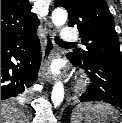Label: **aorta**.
<instances>
[{
    "label": "aorta",
    "instance_id": "1",
    "mask_svg": "<svg viewBox=\"0 0 122 123\" xmlns=\"http://www.w3.org/2000/svg\"><path fill=\"white\" fill-rule=\"evenodd\" d=\"M67 20V12L62 8H57L52 12V22L56 26H62ZM64 99V86L58 81L53 86L51 100L55 107H58Z\"/></svg>",
    "mask_w": 122,
    "mask_h": 123
}]
</instances>
